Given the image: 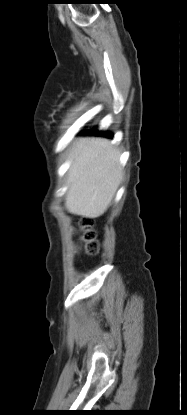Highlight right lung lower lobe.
I'll list each match as a JSON object with an SVG mask.
<instances>
[{
    "label": "right lung lower lobe",
    "instance_id": "98d812e1",
    "mask_svg": "<svg viewBox=\"0 0 187 415\" xmlns=\"http://www.w3.org/2000/svg\"><path fill=\"white\" fill-rule=\"evenodd\" d=\"M88 134H95V135H103V136H106V137H110V138H112L113 137V135L111 134V133H104V132H99V131H97L96 129H93V130H91V131H88L87 132Z\"/></svg>",
    "mask_w": 187,
    "mask_h": 415
}]
</instances>
